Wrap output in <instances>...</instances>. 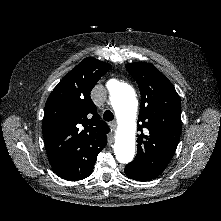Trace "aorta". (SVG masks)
<instances>
[{
  "mask_svg": "<svg viewBox=\"0 0 221 221\" xmlns=\"http://www.w3.org/2000/svg\"><path fill=\"white\" fill-rule=\"evenodd\" d=\"M110 100L119 119L114 153L120 163H129L135 154V117L137 110L135 91L127 83H118L111 91Z\"/></svg>",
  "mask_w": 221,
  "mask_h": 221,
  "instance_id": "obj_1",
  "label": "aorta"
}]
</instances>
